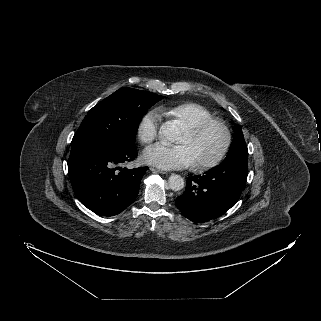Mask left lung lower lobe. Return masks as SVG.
Wrapping results in <instances>:
<instances>
[{"instance_id": "0a47b994", "label": "left lung lower lobe", "mask_w": 321, "mask_h": 321, "mask_svg": "<svg viewBox=\"0 0 321 321\" xmlns=\"http://www.w3.org/2000/svg\"><path fill=\"white\" fill-rule=\"evenodd\" d=\"M247 175L248 158L224 160L202 176L189 177L184 193L175 204L193 222L216 219L238 201Z\"/></svg>"}]
</instances>
